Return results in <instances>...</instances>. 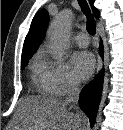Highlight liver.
Wrapping results in <instances>:
<instances>
[{
    "label": "liver",
    "instance_id": "1",
    "mask_svg": "<svg viewBox=\"0 0 123 130\" xmlns=\"http://www.w3.org/2000/svg\"><path fill=\"white\" fill-rule=\"evenodd\" d=\"M82 114H73L56 98L29 96L20 101L7 130H79Z\"/></svg>",
    "mask_w": 123,
    "mask_h": 130
}]
</instances>
